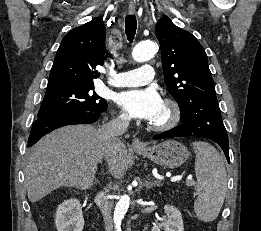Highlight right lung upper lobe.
<instances>
[{"label":"right lung upper lobe","instance_id":"obj_1","mask_svg":"<svg viewBox=\"0 0 261 231\" xmlns=\"http://www.w3.org/2000/svg\"><path fill=\"white\" fill-rule=\"evenodd\" d=\"M105 25L100 17L69 31L61 41L51 68L48 87L94 85L104 64Z\"/></svg>","mask_w":261,"mask_h":231}]
</instances>
